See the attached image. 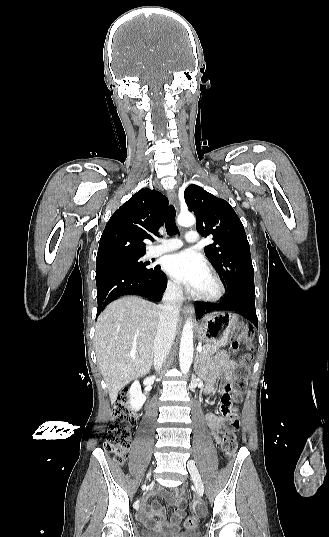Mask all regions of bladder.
<instances>
[{
  "label": "bladder",
  "mask_w": 329,
  "mask_h": 537,
  "mask_svg": "<svg viewBox=\"0 0 329 537\" xmlns=\"http://www.w3.org/2000/svg\"><path fill=\"white\" fill-rule=\"evenodd\" d=\"M143 537H199L198 531L178 532V533H164L152 530H143Z\"/></svg>",
  "instance_id": "31cf9c89"
}]
</instances>
